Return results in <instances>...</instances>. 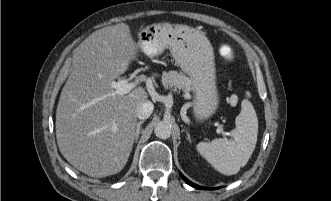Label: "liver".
<instances>
[{
	"instance_id": "6515ba94",
	"label": "liver",
	"mask_w": 331,
	"mask_h": 201,
	"mask_svg": "<svg viewBox=\"0 0 331 201\" xmlns=\"http://www.w3.org/2000/svg\"><path fill=\"white\" fill-rule=\"evenodd\" d=\"M140 45L125 23L100 30L78 53L56 110L61 154L91 177L120 172L136 133V111L148 94L136 87L117 95L111 82L125 73Z\"/></svg>"
}]
</instances>
